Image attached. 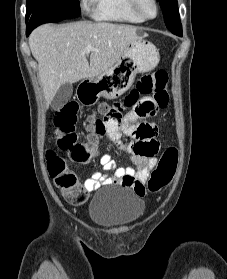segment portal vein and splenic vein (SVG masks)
<instances>
[{
  "label": "portal vein and splenic vein",
  "mask_w": 227,
  "mask_h": 279,
  "mask_svg": "<svg viewBox=\"0 0 227 279\" xmlns=\"http://www.w3.org/2000/svg\"><path fill=\"white\" fill-rule=\"evenodd\" d=\"M93 50V47L91 45H88L85 49V52L88 54Z\"/></svg>",
  "instance_id": "obj_1"
}]
</instances>
